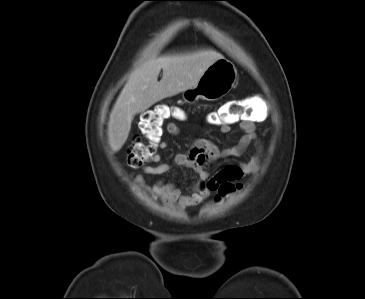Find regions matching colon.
<instances>
[{
    "label": "colon",
    "mask_w": 365,
    "mask_h": 299,
    "mask_svg": "<svg viewBox=\"0 0 365 299\" xmlns=\"http://www.w3.org/2000/svg\"><path fill=\"white\" fill-rule=\"evenodd\" d=\"M257 113L251 100H240L222 106L219 110L211 112L208 115L210 123L223 126L229 125L236 121L250 120ZM185 117L184 111L176 106L166 104L156 105L152 109L142 113L139 122V128L148 139L143 142L139 138L135 139L127 151V164L130 167L137 168L153 160L157 152L158 142L163 134L164 123L169 119L181 120ZM211 190H217L218 196L237 190L238 184L226 182L214 186L211 182L208 184Z\"/></svg>",
    "instance_id": "colon-1"
}]
</instances>
